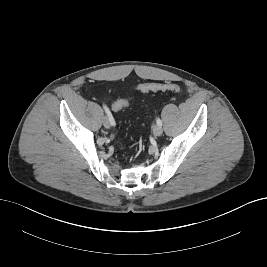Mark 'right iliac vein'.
<instances>
[{"label": "right iliac vein", "instance_id": "right-iliac-vein-1", "mask_svg": "<svg viewBox=\"0 0 267 267\" xmlns=\"http://www.w3.org/2000/svg\"><path fill=\"white\" fill-rule=\"evenodd\" d=\"M103 125L105 128L109 129L110 128V121L107 117L103 118Z\"/></svg>", "mask_w": 267, "mask_h": 267}]
</instances>
